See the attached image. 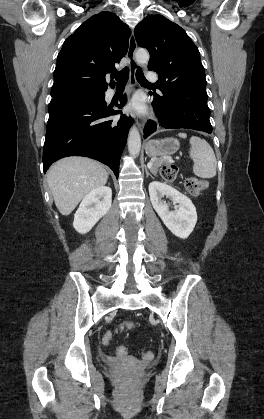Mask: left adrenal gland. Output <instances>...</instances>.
I'll use <instances>...</instances> for the list:
<instances>
[{
	"mask_svg": "<svg viewBox=\"0 0 264 419\" xmlns=\"http://www.w3.org/2000/svg\"><path fill=\"white\" fill-rule=\"evenodd\" d=\"M146 175H147V177L148 176H151L153 178V176L149 173V171L147 170V168H146Z\"/></svg>",
	"mask_w": 264,
	"mask_h": 419,
	"instance_id": "left-adrenal-gland-1",
	"label": "left adrenal gland"
}]
</instances>
